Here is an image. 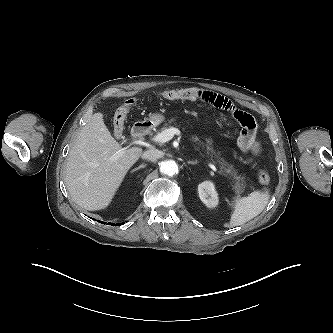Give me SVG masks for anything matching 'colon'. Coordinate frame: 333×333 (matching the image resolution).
Returning a JSON list of instances; mask_svg holds the SVG:
<instances>
[{
	"mask_svg": "<svg viewBox=\"0 0 333 333\" xmlns=\"http://www.w3.org/2000/svg\"><path fill=\"white\" fill-rule=\"evenodd\" d=\"M159 95L168 100H194L198 98L197 92L193 89L163 90L159 92ZM133 105L134 100L130 99L116 110L113 120V129L117 136L122 134L125 120ZM270 179L271 177L266 170H260L258 172V180L261 184H268Z\"/></svg>",
	"mask_w": 333,
	"mask_h": 333,
	"instance_id": "5ec220e1",
	"label": "colon"
}]
</instances>
